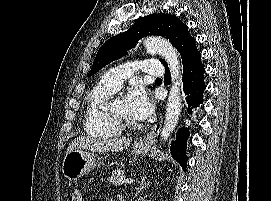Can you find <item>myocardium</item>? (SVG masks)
<instances>
[{
  "instance_id": "f54148a6",
  "label": "myocardium",
  "mask_w": 271,
  "mask_h": 201,
  "mask_svg": "<svg viewBox=\"0 0 271 201\" xmlns=\"http://www.w3.org/2000/svg\"><path fill=\"white\" fill-rule=\"evenodd\" d=\"M112 118L114 121L122 128V129H130V130H135L140 127L138 123L135 121L129 120L120 114L116 113L113 109L109 110Z\"/></svg>"
}]
</instances>
